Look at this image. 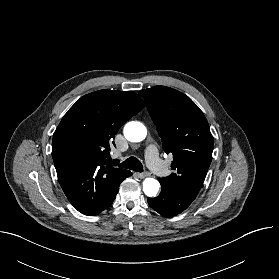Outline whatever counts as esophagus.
<instances>
[{
  "label": "esophagus",
  "instance_id": "34e87169",
  "mask_svg": "<svg viewBox=\"0 0 279 279\" xmlns=\"http://www.w3.org/2000/svg\"><path fill=\"white\" fill-rule=\"evenodd\" d=\"M150 176V173L149 172H143V173H138V177L139 178H146V177H149Z\"/></svg>",
  "mask_w": 279,
  "mask_h": 279
}]
</instances>
